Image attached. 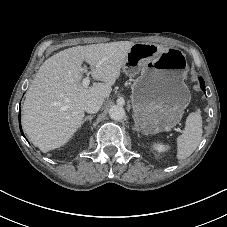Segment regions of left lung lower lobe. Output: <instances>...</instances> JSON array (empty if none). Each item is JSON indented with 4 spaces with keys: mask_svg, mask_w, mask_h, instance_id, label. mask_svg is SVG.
Here are the masks:
<instances>
[{
    "mask_svg": "<svg viewBox=\"0 0 227 227\" xmlns=\"http://www.w3.org/2000/svg\"><path fill=\"white\" fill-rule=\"evenodd\" d=\"M199 80H200V87H201V89L205 91L204 80L202 78H200Z\"/></svg>",
    "mask_w": 227,
    "mask_h": 227,
    "instance_id": "1",
    "label": "left lung lower lobe"
}]
</instances>
